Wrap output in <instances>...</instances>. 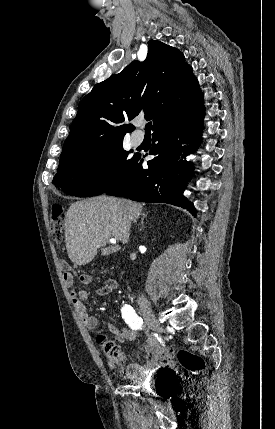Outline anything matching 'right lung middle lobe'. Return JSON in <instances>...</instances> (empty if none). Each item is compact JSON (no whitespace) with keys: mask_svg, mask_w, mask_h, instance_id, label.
<instances>
[{"mask_svg":"<svg viewBox=\"0 0 275 429\" xmlns=\"http://www.w3.org/2000/svg\"><path fill=\"white\" fill-rule=\"evenodd\" d=\"M123 139L59 164L53 182L77 197L100 195L117 186L133 169L139 155L127 159Z\"/></svg>","mask_w":275,"mask_h":429,"instance_id":"dd1d6c3e","label":"right lung middle lobe"}]
</instances>
